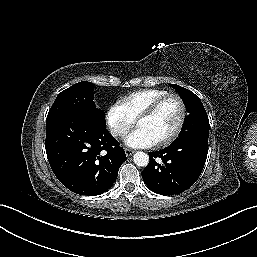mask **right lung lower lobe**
Listing matches in <instances>:
<instances>
[{
  "label": "right lung lower lobe",
  "instance_id": "98d812e1",
  "mask_svg": "<svg viewBox=\"0 0 257 257\" xmlns=\"http://www.w3.org/2000/svg\"><path fill=\"white\" fill-rule=\"evenodd\" d=\"M45 149L57 179L80 195L106 192L126 160L106 127L79 112L47 117Z\"/></svg>",
  "mask_w": 257,
  "mask_h": 257
}]
</instances>
